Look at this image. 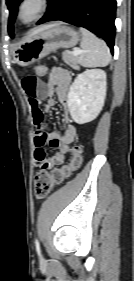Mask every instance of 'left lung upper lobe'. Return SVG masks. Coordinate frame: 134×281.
Wrapping results in <instances>:
<instances>
[{"mask_svg": "<svg viewBox=\"0 0 134 281\" xmlns=\"http://www.w3.org/2000/svg\"><path fill=\"white\" fill-rule=\"evenodd\" d=\"M22 0H7L6 4L8 6V9L10 11L9 15V25H8V32L10 36L13 38L14 37V21L17 16V11H18V5L20 4Z\"/></svg>", "mask_w": 134, "mask_h": 281, "instance_id": "5c2ea615", "label": "left lung upper lobe"}]
</instances>
